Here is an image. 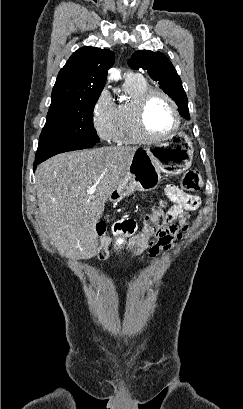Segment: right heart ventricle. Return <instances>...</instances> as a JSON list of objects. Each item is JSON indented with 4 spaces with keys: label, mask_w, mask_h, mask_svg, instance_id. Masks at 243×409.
I'll return each instance as SVG.
<instances>
[{
    "label": "right heart ventricle",
    "mask_w": 243,
    "mask_h": 409,
    "mask_svg": "<svg viewBox=\"0 0 243 409\" xmlns=\"http://www.w3.org/2000/svg\"><path fill=\"white\" fill-rule=\"evenodd\" d=\"M148 89L149 85L144 79L125 80L124 91L128 96V101L115 106L116 129L113 138L114 142L118 144H136L142 142L133 129L130 109L135 100Z\"/></svg>",
    "instance_id": "1"
}]
</instances>
